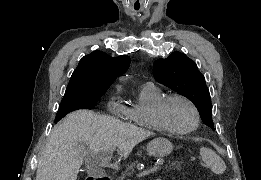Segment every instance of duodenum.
Segmentation results:
<instances>
[{
  "instance_id": "obj_1",
  "label": "duodenum",
  "mask_w": 261,
  "mask_h": 180,
  "mask_svg": "<svg viewBox=\"0 0 261 180\" xmlns=\"http://www.w3.org/2000/svg\"><path fill=\"white\" fill-rule=\"evenodd\" d=\"M86 180H110L108 173H91V177H86Z\"/></svg>"
}]
</instances>
